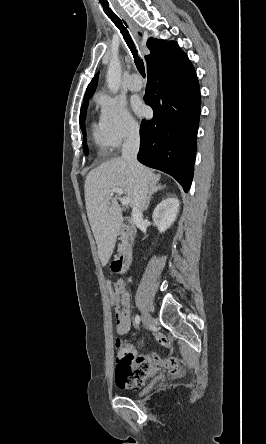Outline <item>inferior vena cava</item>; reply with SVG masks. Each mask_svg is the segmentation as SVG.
I'll list each match as a JSON object with an SVG mask.
<instances>
[{"label": "inferior vena cava", "instance_id": "inferior-vena-cava-1", "mask_svg": "<svg viewBox=\"0 0 266 444\" xmlns=\"http://www.w3.org/2000/svg\"><path fill=\"white\" fill-rule=\"evenodd\" d=\"M140 146L139 128L131 127L122 148V158L129 164L130 170L136 178L134 205L132 217L141 219L148 200L149 186L144 177L141 164L137 160Z\"/></svg>", "mask_w": 266, "mask_h": 444}]
</instances>
